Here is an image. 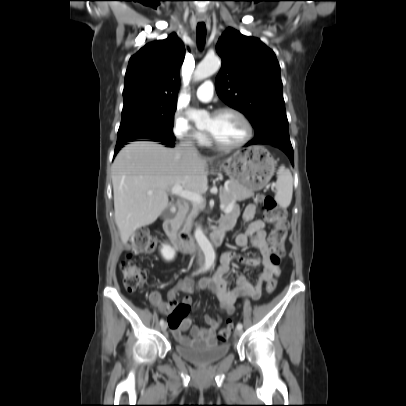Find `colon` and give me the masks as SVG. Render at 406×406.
<instances>
[{
    "instance_id": "obj_1",
    "label": "colon",
    "mask_w": 406,
    "mask_h": 406,
    "mask_svg": "<svg viewBox=\"0 0 406 406\" xmlns=\"http://www.w3.org/2000/svg\"><path fill=\"white\" fill-rule=\"evenodd\" d=\"M256 200L263 206L266 220L273 225L269 238L271 244L270 261L274 266L278 267L282 258V249L287 238V211L285 208L277 206L271 196L259 194L256 196ZM128 246L129 254L121 262L120 271L125 289L133 292L145 283L148 278L146 268L136 263L134 257L152 253L156 249L157 243L148 229L141 228L132 233ZM276 287L277 280L272 278L267 282L266 291L272 293ZM189 311V308L178 305L169 316V324L177 326L181 320L189 315ZM232 331L233 326L231 323H228L218 331L217 339L220 342H225L230 337Z\"/></svg>"
}]
</instances>
